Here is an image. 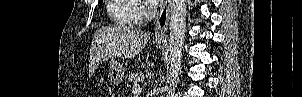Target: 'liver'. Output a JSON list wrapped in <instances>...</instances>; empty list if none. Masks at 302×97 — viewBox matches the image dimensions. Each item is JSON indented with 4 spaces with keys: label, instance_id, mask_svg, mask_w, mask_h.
<instances>
[{
    "label": "liver",
    "instance_id": "obj_1",
    "mask_svg": "<svg viewBox=\"0 0 302 97\" xmlns=\"http://www.w3.org/2000/svg\"><path fill=\"white\" fill-rule=\"evenodd\" d=\"M150 34L132 26L116 25L99 29L93 38L90 49V75L98 63L111 56L134 58L145 47Z\"/></svg>",
    "mask_w": 302,
    "mask_h": 97
}]
</instances>
